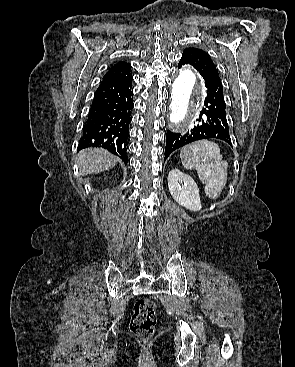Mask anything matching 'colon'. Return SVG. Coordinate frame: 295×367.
Here are the masks:
<instances>
[{"label":"colon","mask_w":295,"mask_h":367,"mask_svg":"<svg viewBox=\"0 0 295 367\" xmlns=\"http://www.w3.org/2000/svg\"><path fill=\"white\" fill-rule=\"evenodd\" d=\"M156 325V304L151 299L142 298L136 301L130 322L131 331L142 338L154 333Z\"/></svg>","instance_id":"1"}]
</instances>
